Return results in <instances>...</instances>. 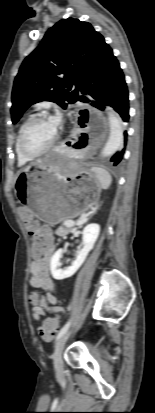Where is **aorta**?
I'll use <instances>...</instances> for the list:
<instances>
[{
  "label": "aorta",
  "instance_id": "aorta-1",
  "mask_svg": "<svg viewBox=\"0 0 155 413\" xmlns=\"http://www.w3.org/2000/svg\"><path fill=\"white\" fill-rule=\"evenodd\" d=\"M109 123V137L103 148L102 156L113 155L123 144V124L120 116L110 110L107 112Z\"/></svg>",
  "mask_w": 155,
  "mask_h": 413
}]
</instances>
